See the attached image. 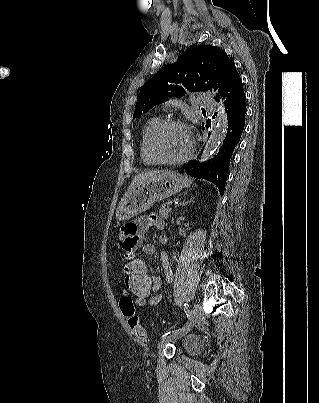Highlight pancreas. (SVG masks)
Instances as JSON below:
<instances>
[{
	"label": "pancreas",
	"instance_id": "pancreas-1",
	"mask_svg": "<svg viewBox=\"0 0 319 403\" xmlns=\"http://www.w3.org/2000/svg\"><path fill=\"white\" fill-rule=\"evenodd\" d=\"M170 213H171V208H169V206L166 205V204H163L162 207L159 209V215H160L163 219H168Z\"/></svg>",
	"mask_w": 319,
	"mask_h": 403
}]
</instances>
